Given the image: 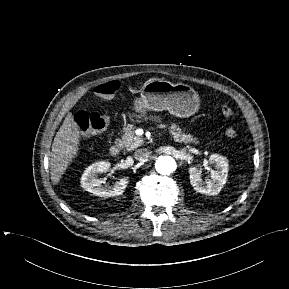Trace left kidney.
<instances>
[{
	"label": "left kidney",
	"mask_w": 289,
	"mask_h": 289,
	"mask_svg": "<svg viewBox=\"0 0 289 289\" xmlns=\"http://www.w3.org/2000/svg\"><path fill=\"white\" fill-rule=\"evenodd\" d=\"M209 162L215 165L216 170L210 171L211 179L205 181L201 178V171L195 167L189 168L190 183L194 190L206 195H217L227 181L228 162L227 159L218 154H212Z\"/></svg>",
	"instance_id": "obj_1"
}]
</instances>
